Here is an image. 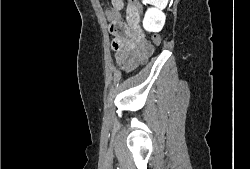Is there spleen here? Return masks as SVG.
<instances>
[{
	"mask_svg": "<svg viewBox=\"0 0 250 169\" xmlns=\"http://www.w3.org/2000/svg\"><path fill=\"white\" fill-rule=\"evenodd\" d=\"M167 0H163V4H166Z\"/></svg>",
	"mask_w": 250,
	"mask_h": 169,
	"instance_id": "3e777b00",
	"label": "spleen"
}]
</instances>
